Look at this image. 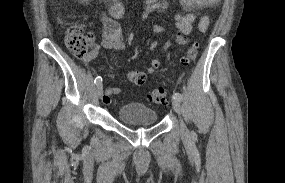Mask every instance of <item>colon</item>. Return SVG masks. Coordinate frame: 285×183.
Here are the masks:
<instances>
[{"instance_id":"5ec220e1","label":"colon","mask_w":285,"mask_h":183,"mask_svg":"<svg viewBox=\"0 0 285 183\" xmlns=\"http://www.w3.org/2000/svg\"><path fill=\"white\" fill-rule=\"evenodd\" d=\"M93 35L85 33L80 25H72L67 29L65 43L72 55L77 58H85L89 54L90 44ZM198 44L193 43L187 50L183 59L184 64L192 63L198 55ZM149 100L156 104H165L169 100V94L164 86L152 90L149 94Z\"/></svg>"}]
</instances>
